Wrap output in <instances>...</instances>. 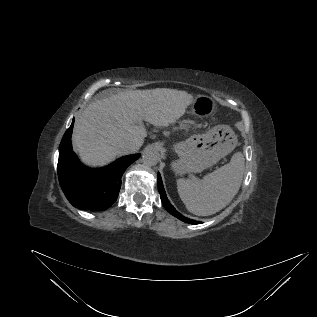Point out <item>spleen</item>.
Masks as SVG:
<instances>
[{
    "label": "spleen",
    "instance_id": "obj_1",
    "mask_svg": "<svg viewBox=\"0 0 317 317\" xmlns=\"http://www.w3.org/2000/svg\"><path fill=\"white\" fill-rule=\"evenodd\" d=\"M245 159L235 153L230 162L202 180H177L179 196L189 212L208 216L225 208L235 197L243 179Z\"/></svg>",
    "mask_w": 317,
    "mask_h": 317
}]
</instances>
